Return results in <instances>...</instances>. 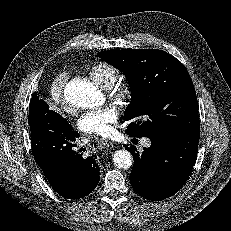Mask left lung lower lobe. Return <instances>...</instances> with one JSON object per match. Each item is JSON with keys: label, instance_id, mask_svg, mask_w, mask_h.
<instances>
[{"label": "left lung lower lobe", "instance_id": "0a47b994", "mask_svg": "<svg viewBox=\"0 0 231 231\" xmlns=\"http://www.w3.org/2000/svg\"><path fill=\"white\" fill-rule=\"evenodd\" d=\"M200 132L176 138L149 137L151 146L142 154L125 146L134 158L130 175L133 189L145 199L161 201L185 184L197 157Z\"/></svg>", "mask_w": 231, "mask_h": 231}]
</instances>
